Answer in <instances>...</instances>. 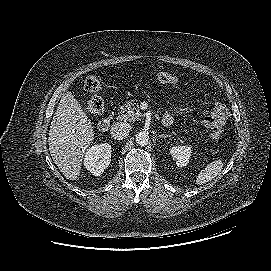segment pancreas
Masks as SVG:
<instances>
[{"label":"pancreas","mask_w":271,"mask_h":271,"mask_svg":"<svg viewBox=\"0 0 271 271\" xmlns=\"http://www.w3.org/2000/svg\"><path fill=\"white\" fill-rule=\"evenodd\" d=\"M139 117H141V112L139 109V103L138 101H132L128 102L124 107H121V110L119 112V116H117V119L120 121H126V122H132L139 120Z\"/></svg>","instance_id":"cf45deb5"}]
</instances>
